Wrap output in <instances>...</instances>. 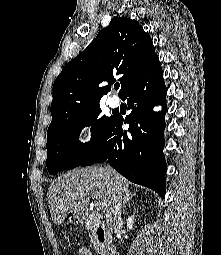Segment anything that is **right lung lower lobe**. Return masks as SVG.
<instances>
[{"label": "right lung lower lobe", "instance_id": "98d812e1", "mask_svg": "<svg viewBox=\"0 0 221 255\" xmlns=\"http://www.w3.org/2000/svg\"><path fill=\"white\" fill-rule=\"evenodd\" d=\"M166 93L157 57L121 95L122 99H127L131 113L125 119L113 116L95 149L79 166L107 160L129 181L146 186L164 197ZM158 104L162 105V111H153ZM124 123L129 124L128 131L123 130Z\"/></svg>", "mask_w": 221, "mask_h": 255}]
</instances>
